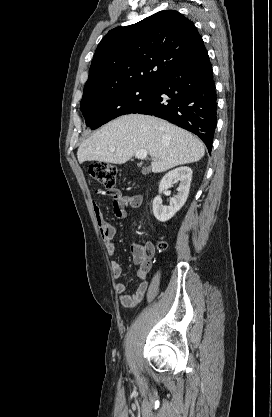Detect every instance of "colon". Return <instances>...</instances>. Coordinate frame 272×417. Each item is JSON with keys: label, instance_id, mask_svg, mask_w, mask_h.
<instances>
[{"label": "colon", "instance_id": "obj_1", "mask_svg": "<svg viewBox=\"0 0 272 417\" xmlns=\"http://www.w3.org/2000/svg\"><path fill=\"white\" fill-rule=\"evenodd\" d=\"M89 174L94 180L106 187H113L116 183L117 170L107 162L92 163L89 166ZM157 247L158 249H164L166 245L160 242Z\"/></svg>", "mask_w": 272, "mask_h": 417}]
</instances>
